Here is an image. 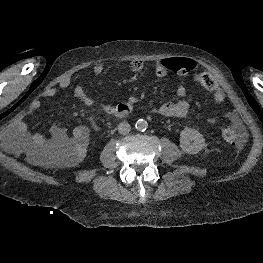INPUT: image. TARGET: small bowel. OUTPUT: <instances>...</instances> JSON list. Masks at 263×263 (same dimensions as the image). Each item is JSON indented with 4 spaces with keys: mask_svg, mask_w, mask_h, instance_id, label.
<instances>
[{
    "mask_svg": "<svg viewBox=\"0 0 263 263\" xmlns=\"http://www.w3.org/2000/svg\"><path fill=\"white\" fill-rule=\"evenodd\" d=\"M170 59L171 58L161 59L154 62V71L156 76L160 78H166L169 76L170 73H173L167 65V62ZM191 62H193L194 64L193 60H191ZM144 66L145 62L139 58L132 60L130 63V69L133 72L142 71L144 69ZM103 72L104 67L102 64H96L93 67V73L95 75H101ZM71 82L72 80L70 76H64L56 84L48 86L43 91L42 96L45 98L53 97L60 90L70 87ZM73 94L86 106L93 107L96 105L95 101L86 94L85 89L82 85H76L73 89ZM185 94L186 90L183 86L177 87L175 90L177 100L174 102L164 103L159 108H157V113L163 116L174 117H182L188 114L191 110V105L184 99ZM99 107L105 112H111L115 109L114 107L109 105H100ZM234 122L236 126H239L238 121ZM19 133L22 142L28 147L29 152L32 155H38L42 152L58 148L61 145L65 144L69 139L68 131L62 127L53 125L50 128L49 138H46L43 135L31 133L24 121H21L19 123ZM75 133H81L85 137H87V130L85 128H77L73 130L72 134Z\"/></svg>",
    "mask_w": 263,
    "mask_h": 263,
    "instance_id": "obj_1",
    "label": "small bowel"
}]
</instances>
